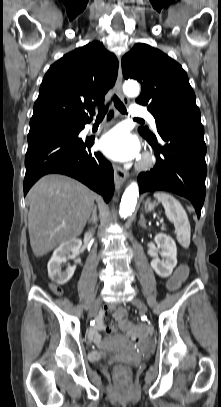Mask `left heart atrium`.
<instances>
[{
    "mask_svg": "<svg viewBox=\"0 0 221 407\" xmlns=\"http://www.w3.org/2000/svg\"><path fill=\"white\" fill-rule=\"evenodd\" d=\"M99 149L110 159L129 161L134 159L140 150V145L124 126H117L105 133L99 143Z\"/></svg>",
    "mask_w": 221,
    "mask_h": 407,
    "instance_id": "1",
    "label": "left heart atrium"
}]
</instances>
